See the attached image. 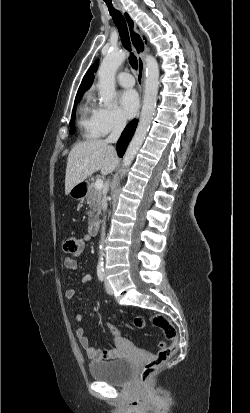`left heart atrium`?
I'll list each match as a JSON object with an SVG mask.
<instances>
[{
  "mask_svg": "<svg viewBox=\"0 0 250 413\" xmlns=\"http://www.w3.org/2000/svg\"><path fill=\"white\" fill-rule=\"evenodd\" d=\"M119 102L124 114L133 117L139 108V98L134 90H125L120 94Z\"/></svg>",
  "mask_w": 250,
  "mask_h": 413,
  "instance_id": "1",
  "label": "left heart atrium"
}]
</instances>
